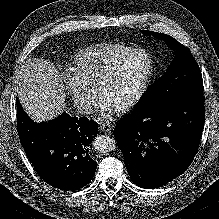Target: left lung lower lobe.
<instances>
[{
	"label": "left lung lower lobe",
	"mask_w": 219,
	"mask_h": 219,
	"mask_svg": "<svg viewBox=\"0 0 219 219\" xmlns=\"http://www.w3.org/2000/svg\"><path fill=\"white\" fill-rule=\"evenodd\" d=\"M205 122L203 93L150 111L133 110L114 129L131 180L161 187L183 174L196 155Z\"/></svg>",
	"instance_id": "left-lung-lower-lobe-1"
}]
</instances>
